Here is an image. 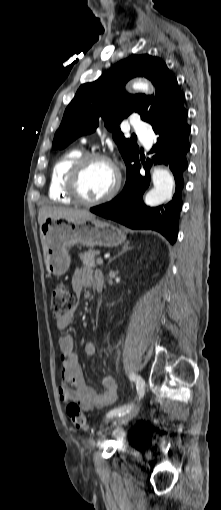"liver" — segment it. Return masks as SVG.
<instances>
[{"mask_svg":"<svg viewBox=\"0 0 221 510\" xmlns=\"http://www.w3.org/2000/svg\"><path fill=\"white\" fill-rule=\"evenodd\" d=\"M47 217H62L70 221L95 218V216L87 210L68 207L44 206L39 210L38 223L40 226L43 224Z\"/></svg>","mask_w":221,"mask_h":510,"instance_id":"6515ba94","label":"liver"}]
</instances>
